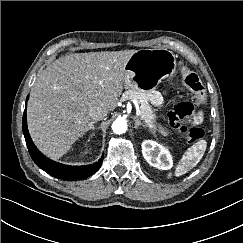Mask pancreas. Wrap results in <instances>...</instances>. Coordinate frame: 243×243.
I'll list each match as a JSON object with an SVG mask.
<instances>
[{
	"instance_id": "obj_1",
	"label": "pancreas",
	"mask_w": 243,
	"mask_h": 243,
	"mask_svg": "<svg viewBox=\"0 0 243 243\" xmlns=\"http://www.w3.org/2000/svg\"><path fill=\"white\" fill-rule=\"evenodd\" d=\"M123 100L135 99L140 102V118L145 122L146 126L150 128V130L155 133L156 132V124L155 118L156 115L149 104L148 94L146 91L138 88V89H129L124 92L122 96Z\"/></svg>"
}]
</instances>
